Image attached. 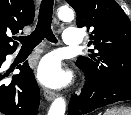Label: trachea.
<instances>
[{"label":"trachea","instance_id":"1","mask_svg":"<svg viewBox=\"0 0 131 115\" xmlns=\"http://www.w3.org/2000/svg\"><path fill=\"white\" fill-rule=\"evenodd\" d=\"M53 0H42L38 23L35 30L28 36L18 37L17 40L22 44V49H34L44 38L56 43L57 40L52 32V13Z\"/></svg>","mask_w":131,"mask_h":115}]
</instances>
